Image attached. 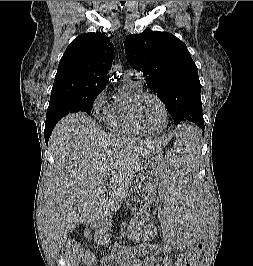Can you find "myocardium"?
Segmentation results:
<instances>
[{"label":"myocardium","mask_w":253,"mask_h":266,"mask_svg":"<svg viewBox=\"0 0 253 266\" xmlns=\"http://www.w3.org/2000/svg\"><path fill=\"white\" fill-rule=\"evenodd\" d=\"M148 97H152V98L156 99L159 102V104L161 105V107L163 109V112H164L165 123H164V126L162 127V129H160L158 131H151V130L146 129L141 124V121H140V118H139V107H140V104L145 98H148ZM130 113H131V119H132V122H133L134 126L143 135H153V136L161 135L167 130V128L169 126L168 108H167L165 102L163 101V99L159 95L154 93V92H141L138 95H136L133 98L132 102H131Z\"/></svg>","instance_id":"1"}]
</instances>
